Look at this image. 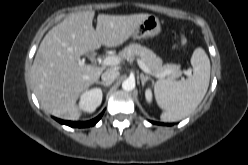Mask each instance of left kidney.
<instances>
[{
    "label": "left kidney",
    "mask_w": 248,
    "mask_h": 165,
    "mask_svg": "<svg viewBox=\"0 0 248 165\" xmlns=\"http://www.w3.org/2000/svg\"><path fill=\"white\" fill-rule=\"evenodd\" d=\"M145 97H146V100L148 103H151L152 102V99H153V95H152V91L150 88H147L146 91H145Z\"/></svg>",
    "instance_id": "left-kidney-1"
}]
</instances>
